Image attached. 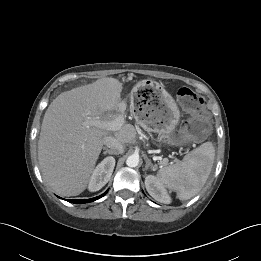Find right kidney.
<instances>
[{"mask_svg":"<svg viewBox=\"0 0 261 261\" xmlns=\"http://www.w3.org/2000/svg\"><path fill=\"white\" fill-rule=\"evenodd\" d=\"M115 167V158L110 156L106 157L94 169L90 178L88 189L91 192L100 190L109 180Z\"/></svg>","mask_w":261,"mask_h":261,"instance_id":"1","label":"right kidney"}]
</instances>
